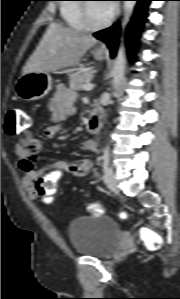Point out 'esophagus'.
Segmentation results:
<instances>
[{
    "label": "esophagus",
    "instance_id": "34e87169",
    "mask_svg": "<svg viewBox=\"0 0 180 299\" xmlns=\"http://www.w3.org/2000/svg\"><path fill=\"white\" fill-rule=\"evenodd\" d=\"M102 48H103V49H106V46H105V45H103V46H102Z\"/></svg>",
    "mask_w": 180,
    "mask_h": 299
}]
</instances>
